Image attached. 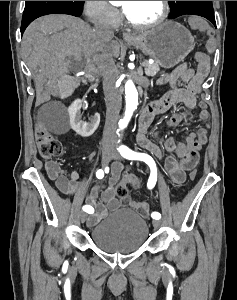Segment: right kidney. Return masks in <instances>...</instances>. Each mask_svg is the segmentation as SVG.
I'll return each mask as SVG.
<instances>
[{"label":"right kidney","instance_id":"ca27d5eb","mask_svg":"<svg viewBox=\"0 0 237 300\" xmlns=\"http://www.w3.org/2000/svg\"><path fill=\"white\" fill-rule=\"evenodd\" d=\"M80 109H82V101L81 99H76L69 107L70 125L77 135H81V137H91L99 127L100 115L99 113H95V115L89 119V123H86V121H82Z\"/></svg>","mask_w":237,"mask_h":300}]
</instances>
